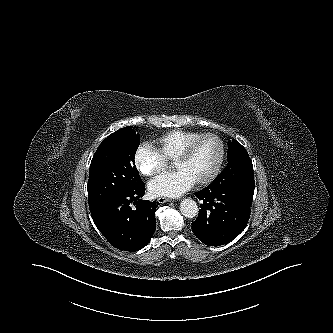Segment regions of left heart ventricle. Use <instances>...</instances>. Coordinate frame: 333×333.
Segmentation results:
<instances>
[{"mask_svg":"<svg viewBox=\"0 0 333 333\" xmlns=\"http://www.w3.org/2000/svg\"><path fill=\"white\" fill-rule=\"evenodd\" d=\"M219 152L217 141L208 137L196 145L186 160L174 164V167L185 171L197 182L206 178L212 172L217 163Z\"/></svg>","mask_w":333,"mask_h":333,"instance_id":"1","label":"left heart ventricle"}]
</instances>
